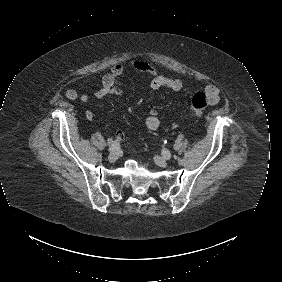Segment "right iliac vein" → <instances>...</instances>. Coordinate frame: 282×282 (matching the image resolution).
Instances as JSON below:
<instances>
[{
	"mask_svg": "<svg viewBox=\"0 0 282 282\" xmlns=\"http://www.w3.org/2000/svg\"><path fill=\"white\" fill-rule=\"evenodd\" d=\"M117 158H118V155L115 152L110 153L109 156H108V160L110 162H115L117 160Z\"/></svg>",
	"mask_w": 282,
	"mask_h": 282,
	"instance_id": "63e3f726",
	"label": "right iliac vein"
}]
</instances>
